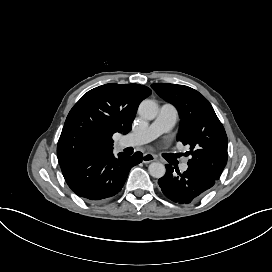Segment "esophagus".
Here are the masks:
<instances>
[{"instance_id": "esophagus-1", "label": "esophagus", "mask_w": 272, "mask_h": 272, "mask_svg": "<svg viewBox=\"0 0 272 272\" xmlns=\"http://www.w3.org/2000/svg\"><path fill=\"white\" fill-rule=\"evenodd\" d=\"M156 161V156L152 153H144L142 156L143 163H150Z\"/></svg>"}]
</instances>
